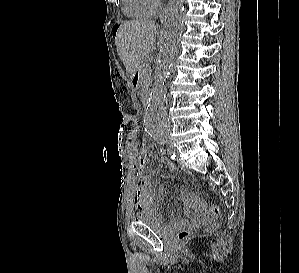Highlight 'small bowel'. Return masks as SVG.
<instances>
[{
	"mask_svg": "<svg viewBox=\"0 0 299 273\" xmlns=\"http://www.w3.org/2000/svg\"><path fill=\"white\" fill-rule=\"evenodd\" d=\"M147 155L148 150L142 149L139 154V159L134 166L136 170L142 171L145 168ZM170 168L173 169V166L170 165ZM165 196V189L160 187L157 194L158 201H164ZM182 199L187 208V216L189 219L199 216L202 213L203 205L197 197L188 193H182ZM134 204L137 211H141L143 209H151L154 211L157 210L155 205V197L151 190L150 180L146 176L140 177L137 181Z\"/></svg>",
	"mask_w": 299,
	"mask_h": 273,
	"instance_id": "small-bowel-1",
	"label": "small bowel"
}]
</instances>
